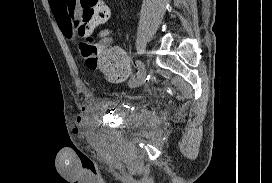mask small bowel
<instances>
[{
  "label": "small bowel",
  "instance_id": "1",
  "mask_svg": "<svg viewBox=\"0 0 272 183\" xmlns=\"http://www.w3.org/2000/svg\"><path fill=\"white\" fill-rule=\"evenodd\" d=\"M67 0H48L51 11L55 17V20L64 35L65 38L73 40L75 38L74 31L68 24L67 16ZM78 11L76 10V14ZM99 46L106 52L115 56L114 62L111 66L100 67L105 76L114 82H120L125 80L131 71L130 62L126 52L119 47L113 45V38L109 34H105L100 42ZM88 114L87 108H83L82 112L78 115L79 121H83Z\"/></svg>",
  "mask_w": 272,
  "mask_h": 183
}]
</instances>
